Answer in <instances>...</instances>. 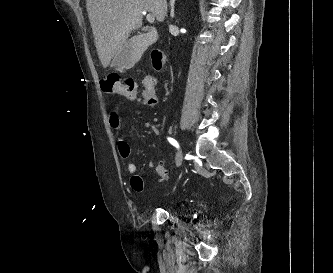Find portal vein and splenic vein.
Here are the masks:
<instances>
[{"label": "portal vein and splenic vein", "instance_id": "obj_1", "mask_svg": "<svg viewBox=\"0 0 333 273\" xmlns=\"http://www.w3.org/2000/svg\"><path fill=\"white\" fill-rule=\"evenodd\" d=\"M146 19L149 23H154L155 17L152 14H147Z\"/></svg>", "mask_w": 333, "mask_h": 273}]
</instances>
